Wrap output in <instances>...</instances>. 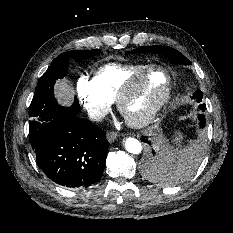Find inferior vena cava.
<instances>
[{"mask_svg":"<svg viewBox=\"0 0 233 233\" xmlns=\"http://www.w3.org/2000/svg\"><path fill=\"white\" fill-rule=\"evenodd\" d=\"M89 116L95 121H101L105 117V114L100 109H95L89 113Z\"/></svg>","mask_w":233,"mask_h":233,"instance_id":"inferior-vena-cava-1","label":"inferior vena cava"}]
</instances>
